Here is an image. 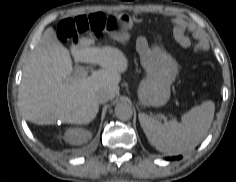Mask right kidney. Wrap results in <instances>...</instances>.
Masks as SVG:
<instances>
[{
    "mask_svg": "<svg viewBox=\"0 0 236 182\" xmlns=\"http://www.w3.org/2000/svg\"><path fill=\"white\" fill-rule=\"evenodd\" d=\"M92 134L82 128H71L65 135L64 139L72 145H81L88 142L91 139Z\"/></svg>",
    "mask_w": 236,
    "mask_h": 182,
    "instance_id": "1",
    "label": "right kidney"
}]
</instances>
